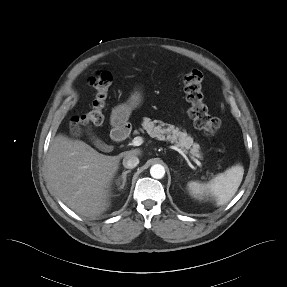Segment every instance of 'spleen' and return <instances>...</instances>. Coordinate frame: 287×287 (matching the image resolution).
Instances as JSON below:
<instances>
[{"mask_svg": "<svg viewBox=\"0 0 287 287\" xmlns=\"http://www.w3.org/2000/svg\"><path fill=\"white\" fill-rule=\"evenodd\" d=\"M243 174V166L237 164L216 175L207 183L189 182L188 189L194 198L203 199L204 196H210L214 198L217 206H222L227 204L237 192Z\"/></svg>", "mask_w": 287, "mask_h": 287, "instance_id": "3e777b00", "label": "spleen"}]
</instances>
